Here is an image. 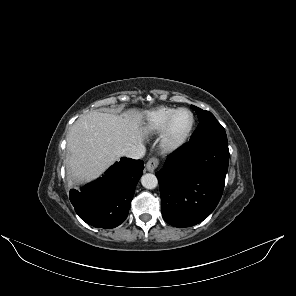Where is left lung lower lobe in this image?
I'll list each match as a JSON object with an SVG mask.
<instances>
[{"label":"left lung lower lobe","instance_id":"obj_1","mask_svg":"<svg viewBox=\"0 0 296 296\" xmlns=\"http://www.w3.org/2000/svg\"><path fill=\"white\" fill-rule=\"evenodd\" d=\"M228 162L227 136L189 141L168 156L156 173L165 221L183 228L205 220L222 196Z\"/></svg>","mask_w":296,"mask_h":296}]
</instances>
